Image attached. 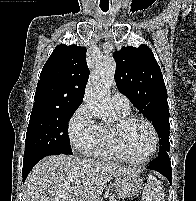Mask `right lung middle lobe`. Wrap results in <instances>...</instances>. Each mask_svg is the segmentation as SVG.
<instances>
[{
  "instance_id": "right-lung-middle-lobe-1",
  "label": "right lung middle lobe",
  "mask_w": 196,
  "mask_h": 201,
  "mask_svg": "<svg viewBox=\"0 0 196 201\" xmlns=\"http://www.w3.org/2000/svg\"><path fill=\"white\" fill-rule=\"evenodd\" d=\"M76 107L58 108L33 105L26 134L24 157L39 151L56 150L72 154L68 122Z\"/></svg>"
}]
</instances>
